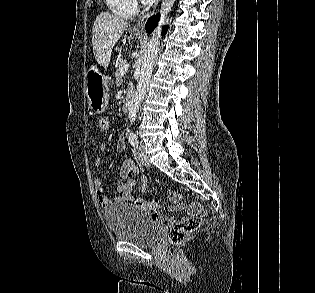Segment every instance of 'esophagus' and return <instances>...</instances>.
Returning <instances> with one entry per match:
<instances>
[{
    "instance_id": "esophagus-1",
    "label": "esophagus",
    "mask_w": 315,
    "mask_h": 293,
    "mask_svg": "<svg viewBox=\"0 0 315 293\" xmlns=\"http://www.w3.org/2000/svg\"><path fill=\"white\" fill-rule=\"evenodd\" d=\"M160 0H157L155 5L153 6L152 10H150L147 14H145L133 27V31L137 33H144L145 32V24L148 19L153 15L155 12Z\"/></svg>"
}]
</instances>
